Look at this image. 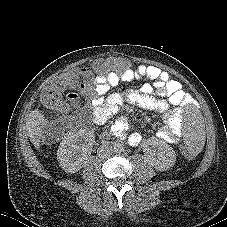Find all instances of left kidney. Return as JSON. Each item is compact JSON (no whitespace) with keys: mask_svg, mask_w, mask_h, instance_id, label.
Instances as JSON below:
<instances>
[{"mask_svg":"<svg viewBox=\"0 0 227 227\" xmlns=\"http://www.w3.org/2000/svg\"><path fill=\"white\" fill-rule=\"evenodd\" d=\"M144 151L148 163L156 170L165 171L171 168L176 161V153L170 145L157 139L148 140Z\"/></svg>","mask_w":227,"mask_h":227,"instance_id":"left-kidney-1","label":"left kidney"}]
</instances>
